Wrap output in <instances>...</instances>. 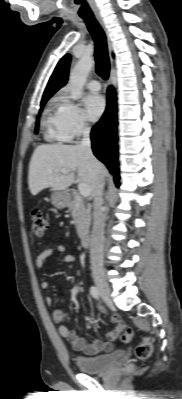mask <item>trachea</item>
Masks as SVG:
<instances>
[{
    "label": "trachea",
    "instance_id": "trachea-1",
    "mask_svg": "<svg viewBox=\"0 0 182 399\" xmlns=\"http://www.w3.org/2000/svg\"><path fill=\"white\" fill-rule=\"evenodd\" d=\"M83 4L87 5L85 2ZM81 18L86 23L95 42L96 72L103 79H107L110 71V62L105 33L93 14H83Z\"/></svg>",
    "mask_w": 182,
    "mask_h": 399
}]
</instances>
